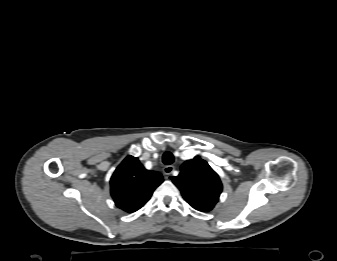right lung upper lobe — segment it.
I'll list each match as a JSON object with an SVG mask.
<instances>
[{
    "label": "right lung upper lobe",
    "mask_w": 337,
    "mask_h": 261,
    "mask_svg": "<svg viewBox=\"0 0 337 261\" xmlns=\"http://www.w3.org/2000/svg\"><path fill=\"white\" fill-rule=\"evenodd\" d=\"M162 182L159 172L146 170L138 158L127 156L111 177V195L117 207L132 213L143 207Z\"/></svg>",
    "instance_id": "cb5924a9"
}]
</instances>
